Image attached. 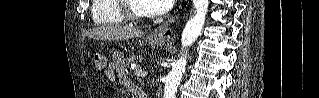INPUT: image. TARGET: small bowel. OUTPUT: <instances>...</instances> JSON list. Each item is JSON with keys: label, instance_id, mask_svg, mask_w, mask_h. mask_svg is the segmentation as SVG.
I'll return each mask as SVG.
<instances>
[{"label": "small bowel", "instance_id": "small-bowel-1", "mask_svg": "<svg viewBox=\"0 0 319 98\" xmlns=\"http://www.w3.org/2000/svg\"><path fill=\"white\" fill-rule=\"evenodd\" d=\"M118 76L122 85L125 86L127 89L133 91V88H135V86L126 78L125 73L123 71H119Z\"/></svg>", "mask_w": 319, "mask_h": 98}]
</instances>
